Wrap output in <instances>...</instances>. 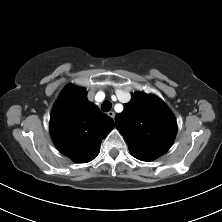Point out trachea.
I'll list each match as a JSON object with an SVG mask.
<instances>
[{
    "label": "trachea",
    "instance_id": "obj_1",
    "mask_svg": "<svg viewBox=\"0 0 222 222\" xmlns=\"http://www.w3.org/2000/svg\"><path fill=\"white\" fill-rule=\"evenodd\" d=\"M111 107H112V104H111L110 101H104V102L102 103V105H101V109H102V111H104V112L110 111Z\"/></svg>",
    "mask_w": 222,
    "mask_h": 222
}]
</instances>
